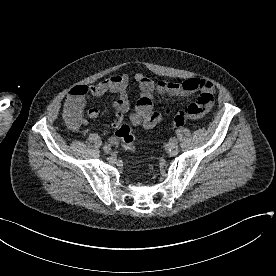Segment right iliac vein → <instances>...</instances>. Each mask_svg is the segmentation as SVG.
<instances>
[{
  "instance_id": "right-iliac-vein-1",
  "label": "right iliac vein",
  "mask_w": 276,
  "mask_h": 276,
  "mask_svg": "<svg viewBox=\"0 0 276 276\" xmlns=\"http://www.w3.org/2000/svg\"><path fill=\"white\" fill-rule=\"evenodd\" d=\"M103 150L106 153H110L111 152V145L110 144H105L104 147H103Z\"/></svg>"
}]
</instances>
